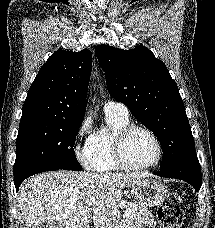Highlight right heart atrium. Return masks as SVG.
<instances>
[{
	"label": "right heart atrium",
	"mask_w": 215,
	"mask_h": 228,
	"mask_svg": "<svg viewBox=\"0 0 215 228\" xmlns=\"http://www.w3.org/2000/svg\"><path fill=\"white\" fill-rule=\"evenodd\" d=\"M91 127L89 118L83 119L75 131V153L79 162L86 161L85 147H81V140L87 135Z\"/></svg>",
	"instance_id": "right-heart-atrium-1"
}]
</instances>
